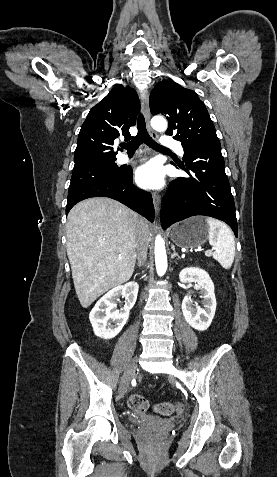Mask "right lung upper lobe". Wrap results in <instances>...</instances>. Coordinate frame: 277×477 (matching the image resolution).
Masks as SVG:
<instances>
[{
  "label": "right lung upper lobe",
  "instance_id": "1",
  "mask_svg": "<svg viewBox=\"0 0 277 477\" xmlns=\"http://www.w3.org/2000/svg\"><path fill=\"white\" fill-rule=\"evenodd\" d=\"M139 98L130 87L116 85L88 113L78 135L74 168L87 164L116 160L114 139L132 137L129 128L136 123Z\"/></svg>",
  "mask_w": 277,
  "mask_h": 477
}]
</instances>
